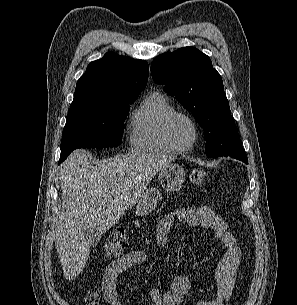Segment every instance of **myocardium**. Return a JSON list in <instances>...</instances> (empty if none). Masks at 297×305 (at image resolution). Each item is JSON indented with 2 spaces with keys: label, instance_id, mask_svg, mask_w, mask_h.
I'll use <instances>...</instances> for the list:
<instances>
[{
  "label": "myocardium",
  "instance_id": "f54148a6",
  "mask_svg": "<svg viewBox=\"0 0 297 305\" xmlns=\"http://www.w3.org/2000/svg\"><path fill=\"white\" fill-rule=\"evenodd\" d=\"M178 117H183L186 120H188L193 128V132H194V136L192 141L190 142V144L188 146L185 147H181L178 146L175 141L173 140L172 136H171V124L172 122L178 118ZM162 133L163 136L166 140V142L168 143V145L177 153H187L189 151H191L194 146L196 145L198 139H199V135H200V130H199V126L198 123L196 122V120L188 113L186 112H182V111H174L172 113H170L163 122L162 125Z\"/></svg>",
  "mask_w": 297,
  "mask_h": 305
}]
</instances>
